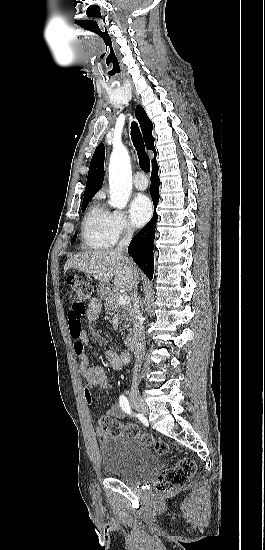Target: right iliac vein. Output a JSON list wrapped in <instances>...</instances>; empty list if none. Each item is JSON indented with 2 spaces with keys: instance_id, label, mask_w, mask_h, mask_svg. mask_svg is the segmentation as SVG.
I'll return each instance as SVG.
<instances>
[{
  "instance_id": "obj_1",
  "label": "right iliac vein",
  "mask_w": 265,
  "mask_h": 550,
  "mask_svg": "<svg viewBox=\"0 0 265 550\" xmlns=\"http://www.w3.org/2000/svg\"><path fill=\"white\" fill-rule=\"evenodd\" d=\"M129 397H130L131 405L133 406L134 409H136L142 414L148 413V407L145 404L144 400L141 398L138 390L135 387L131 389Z\"/></svg>"
}]
</instances>
